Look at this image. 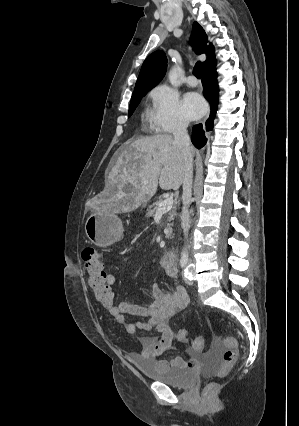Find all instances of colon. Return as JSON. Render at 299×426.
<instances>
[{
  "label": "colon",
  "instance_id": "5ec220e1",
  "mask_svg": "<svg viewBox=\"0 0 299 426\" xmlns=\"http://www.w3.org/2000/svg\"><path fill=\"white\" fill-rule=\"evenodd\" d=\"M84 269L87 273L88 287L94 294L96 301L107 308L114 304L115 294L112 286L106 280V271L103 267L99 252L93 247H86L82 251ZM176 340L180 343L187 341V334L184 329L178 330ZM226 350L223 354V365L217 371V376H224L228 370L236 363L238 358L237 342L234 337L228 336L223 339ZM204 346L203 338H195L192 341V348L201 350ZM216 390L215 383H209L203 389V396L210 397Z\"/></svg>",
  "mask_w": 299,
  "mask_h": 426
}]
</instances>
